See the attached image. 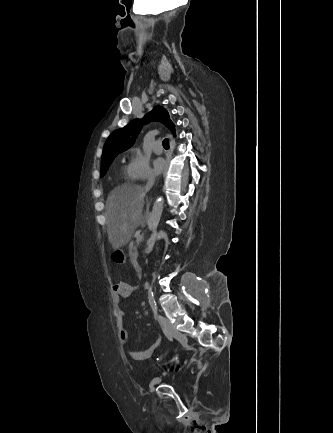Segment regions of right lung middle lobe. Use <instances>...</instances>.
<instances>
[{
	"mask_svg": "<svg viewBox=\"0 0 333 433\" xmlns=\"http://www.w3.org/2000/svg\"><path fill=\"white\" fill-rule=\"evenodd\" d=\"M117 155H114L112 157H110L109 159H107L106 161L102 162L101 165V177L104 176V174L106 173L107 169L109 168L110 164L112 163V161L114 160V158Z\"/></svg>",
	"mask_w": 333,
	"mask_h": 433,
	"instance_id": "obj_1",
	"label": "right lung middle lobe"
}]
</instances>
